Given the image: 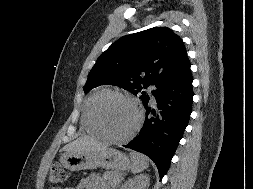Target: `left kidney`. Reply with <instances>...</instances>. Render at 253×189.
<instances>
[{
  "label": "left kidney",
  "instance_id": "1",
  "mask_svg": "<svg viewBox=\"0 0 253 189\" xmlns=\"http://www.w3.org/2000/svg\"><path fill=\"white\" fill-rule=\"evenodd\" d=\"M149 187V176L141 174L134 178L129 179L120 189H148Z\"/></svg>",
  "mask_w": 253,
  "mask_h": 189
}]
</instances>
